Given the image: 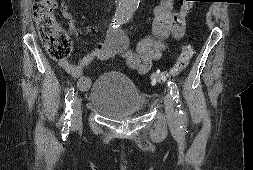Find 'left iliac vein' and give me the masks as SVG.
Here are the masks:
<instances>
[{"label":"left iliac vein","instance_id":"obj_1","mask_svg":"<svg viewBox=\"0 0 253 170\" xmlns=\"http://www.w3.org/2000/svg\"><path fill=\"white\" fill-rule=\"evenodd\" d=\"M164 106H165L166 119H167L169 126L176 127L178 124V119H177L176 114L174 112L173 97L169 92L165 95Z\"/></svg>","mask_w":253,"mask_h":170}]
</instances>
